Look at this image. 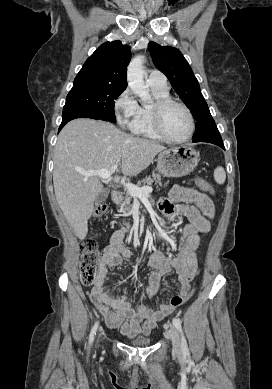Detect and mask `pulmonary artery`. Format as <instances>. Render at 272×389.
I'll list each match as a JSON object with an SVG mask.
<instances>
[{"mask_svg":"<svg viewBox=\"0 0 272 389\" xmlns=\"http://www.w3.org/2000/svg\"><path fill=\"white\" fill-rule=\"evenodd\" d=\"M146 81L151 88L168 90L167 80L165 76L159 71L150 70Z\"/></svg>","mask_w":272,"mask_h":389,"instance_id":"obj_1","label":"pulmonary artery"}]
</instances>
